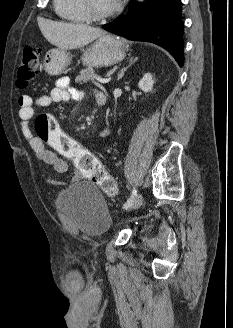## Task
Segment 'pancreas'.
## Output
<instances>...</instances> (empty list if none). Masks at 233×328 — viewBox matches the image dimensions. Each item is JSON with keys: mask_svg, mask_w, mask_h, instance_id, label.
I'll list each match as a JSON object with an SVG mask.
<instances>
[{"mask_svg": "<svg viewBox=\"0 0 233 328\" xmlns=\"http://www.w3.org/2000/svg\"><path fill=\"white\" fill-rule=\"evenodd\" d=\"M99 77L91 67L85 68L80 71V75L76 77L77 83H87L88 81Z\"/></svg>", "mask_w": 233, "mask_h": 328, "instance_id": "pancreas-1", "label": "pancreas"}]
</instances>
